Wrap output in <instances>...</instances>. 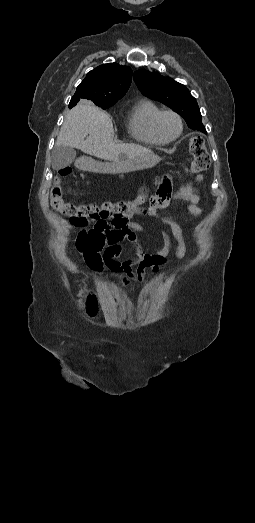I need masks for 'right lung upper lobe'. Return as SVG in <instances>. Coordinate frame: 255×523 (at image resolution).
<instances>
[{
    "mask_svg": "<svg viewBox=\"0 0 255 523\" xmlns=\"http://www.w3.org/2000/svg\"><path fill=\"white\" fill-rule=\"evenodd\" d=\"M132 79L130 67L117 63L100 65L91 70L79 84L72 97L69 108L82 102H117L127 92Z\"/></svg>",
    "mask_w": 255,
    "mask_h": 523,
    "instance_id": "right-lung-upper-lobe-1",
    "label": "right lung upper lobe"
}]
</instances>
